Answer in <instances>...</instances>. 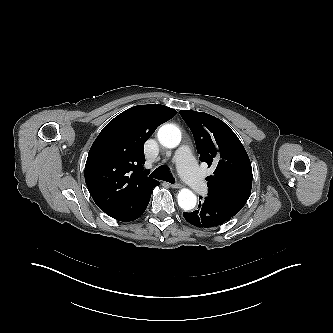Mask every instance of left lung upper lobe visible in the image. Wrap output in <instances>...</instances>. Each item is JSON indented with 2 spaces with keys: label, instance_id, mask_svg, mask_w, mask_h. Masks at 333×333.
I'll list each match as a JSON object with an SVG mask.
<instances>
[{
  "label": "left lung upper lobe",
  "instance_id": "obj_1",
  "mask_svg": "<svg viewBox=\"0 0 333 333\" xmlns=\"http://www.w3.org/2000/svg\"><path fill=\"white\" fill-rule=\"evenodd\" d=\"M180 115L193 133L200 161L215 168L206 178L208 197L237 214L252 188V168L244 146L229 126L210 114L184 110Z\"/></svg>",
  "mask_w": 333,
  "mask_h": 333
}]
</instances>
